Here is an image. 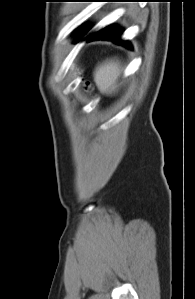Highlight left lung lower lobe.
I'll list each match as a JSON object with an SVG mask.
<instances>
[{
  "mask_svg": "<svg viewBox=\"0 0 195 299\" xmlns=\"http://www.w3.org/2000/svg\"><path fill=\"white\" fill-rule=\"evenodd\" d=\"M122 32L123 31L120 28L115 27V26L105 27V28L95 32L94 34L89 36L87 39H88V41L99 40V39L111 40L118 44L124 45L128 48H131V45L127 41H123L121 39Z\"/></svg>",
  "mask_w": 195,
  "mask_h": 299,
  "instance_id": "0a47b994",
  "label": "left lung lower lobe"
}]
</instances>
